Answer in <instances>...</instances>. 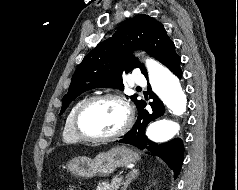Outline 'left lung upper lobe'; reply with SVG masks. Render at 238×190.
Instances as JSON below:
<instances>
[{"mask_svg":"<svg viewBox=\"0 0 238 190\" xmlns=\"http://www.w3.org/2000/svg\"><path fill=\"white\" fill-rule=\"evenodd\" d=\"M147 51L161 63L175 51L164 26L148 15H138L124 21L116 33L96 46L76 69L68 90L63 97L60 115L83 92L100 87L123 90L122 75L139 67L147 77L143 64L132 55V50ZM138 106L142 100L130 96Z\"/></svg>","mask_w":238,"mask_h":190,"instance_id":"1","label":"left lung upper lobe"}]
</instances>
